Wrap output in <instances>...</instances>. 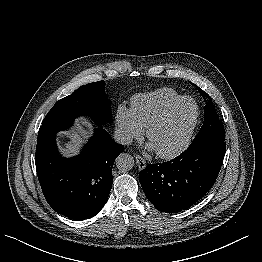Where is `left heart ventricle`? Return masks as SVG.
I'll return each mask as SVG.
<instances>
[{
  "label": "left heart ventricle",
  "mask_w": 262,
  "mask_h": 262,
  "mask_svg": "<svg viewBox=\"0 0 262 262\" xmlns=\"http://www.w3.org/2000/svg\"><path fill=\"white\" fill-rule=\"evenodd\" d=\"M195 115V105L183 102L151 135L150 142L157 151H170L183 140Z\"/></svg>",
  "instance_id": "1"
}]
</instances>
